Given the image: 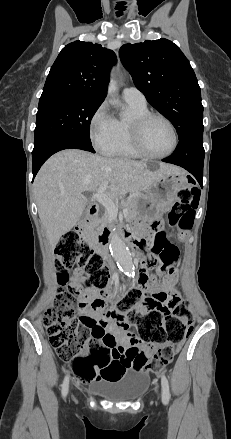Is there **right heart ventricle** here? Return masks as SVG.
I'll return each mask as SVG.
<instances>
[{
	"label": "right heart ventricle",
	"mask_w": 231,
	"mask_h": 439,
	"mask_svg": "<svg viewBox=\"0 0 231 439\" xmlns=\"http://www.w3.org/2000/svg\"><path fill=\"white\" fill-rule=\"evenodd\" d=\"M129 109V116L113 120V139L109 145L102 149V152L111 156L123 158H141L142 156L134 149L131 142L132 120L149 111L147 104L126 101Z\"/></svg>",
	"instance_id": "right-heart-ventricle-1"
}]
</instances>
